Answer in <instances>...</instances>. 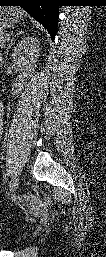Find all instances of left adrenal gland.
Instances as JSON below:
<instances>
[{"mask_svg":"<svg viewBox=\"0 0 106 257\" xmlns=\"http://www.w3.org/2000/svg\"><path fill=\"white\" fill-rule=\"evenodd\" d=\"M20 34H23V31H22V30L18 31V32L14 35V37L12 38V40H11L10 44L8 45L7 50H6V54H7V55H8V52H9L10 47H11L12 44H13L14 38H15L17 35H20Z\"/></svg>","mask_w":106,"mask_h":257,"instance_id":"left-adrenal-gland-1","label":"left adrenal gland"}]
</instances>
